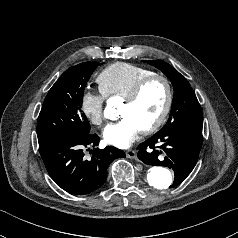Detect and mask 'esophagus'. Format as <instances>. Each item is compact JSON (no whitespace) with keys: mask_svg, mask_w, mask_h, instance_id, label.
<instances>
[{"mask_svg":"<svg viewBox=\"0 0 238 238\" xmlns=\"http://www.w3.org/2000/svg\"><path fill=\"white\" fill-rule=\"evenodd\" d=\"M125 153H126V156H127L128 158H132V159H135V160L138 159V158H137V152H136L135 150H133V149H129V150H127Z\"/></svg>","mask_w":238,"mask_h":238,"instance_id":"esophagus-1","label":"esophagus"}]
</instances>
